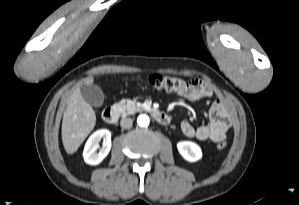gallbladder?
Returning <instances> with one entry per match:
<instances>
[{"instance_id": "gallbladder-1", "label": "gallbladder", "mask_w": 299, "mask_h": 205, "mask_svg": "<svg viewBox=\"0 0 299 205\" xmlns=\"http://www.w3.org/2000/svg\"><path fill=\"white\" fill-rule=\"evenodd\" d=\"M80 92L87 103L93 107H100L104 102V94L102 89L94 84H82Z\"/></svg>"}]
</instances>
